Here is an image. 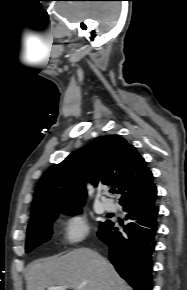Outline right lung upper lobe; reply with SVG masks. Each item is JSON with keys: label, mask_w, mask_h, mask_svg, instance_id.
I'll return each instance as SVG.
<instances>
[{"label": "right lung upper lobe", "mask_w": 187, "mask_h": 290, "mask_svg": "<svg viewBox=\"0 0 187 290\" xmlns=\"http://www.w3.org/2000/svg\"><path fill=\"white\" fill-rule=\"evenodd\" d=\"M86 181L117 187L123 207L152 202L157 194L152 172L136 148L120 136H101L46 171L36 188L29 223L53 211L82 207Z\"/></svg>", "instance_id": "right-lung-upper-lobe-1"}]
</instances>
